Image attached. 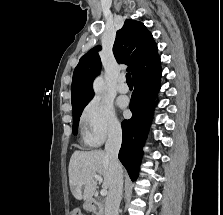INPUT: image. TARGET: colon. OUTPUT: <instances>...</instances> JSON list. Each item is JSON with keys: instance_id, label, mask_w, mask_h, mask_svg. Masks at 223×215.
<instances>
[{"instance_id": "5ec220e1", "label": "colon", "mask_w": 223, "mask_h": 215, "mask_svg": "<svg viewBox=\"0 0 223 215\" xmlns=\"http://www.w3.org/2000/svg\"><path fill=\"white\" fill-rule=\"evenodd\" d=\"M69 215H84V213L80 209H73Z\"/></svg>"}]
</instances>
